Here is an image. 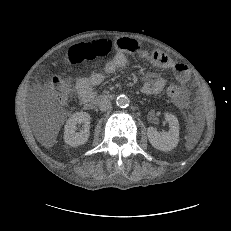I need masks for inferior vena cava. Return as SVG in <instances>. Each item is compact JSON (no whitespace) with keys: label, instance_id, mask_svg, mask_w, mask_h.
Wrapping results in <instances>:
<instances>
[{"label":"inferior vena cava","instance_id":"602c4592","mask_svg":"<svg viewBox=\"0 0 231 231\" xmlns=\"http://www.w3.org/2000/svg\"><path fill=\"white\" fill-rule=\"evenodd\" d=\"M98 105H99V109L104 112V111H107L108 109H110L112 104H111L110 100L105 99V98H101L98 101Z\"/></svg>","mask_w":231,"mask_h":231}]
</instances>
